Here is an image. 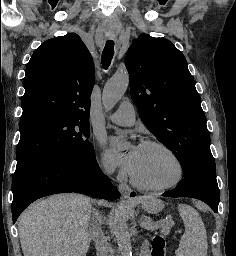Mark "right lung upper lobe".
Segmentation results:
<instances>
[{
  "label": "right lung upper lobe",
  "instance_id": "1",
  "mask_svg": "<svg viewBox=\"0 0 236 256\" xmlns=\"http://www.w3.org/2000/svg\"><path fill=\"white\" fill-rule=\"evenodd\" d=\"M94 79L91 55L77 34L45 41L26 67L21 118L53 113L88 120Z\"/></svg>",
  "mask_w": 236,
  "mask_h": 256
}]
</instances>
